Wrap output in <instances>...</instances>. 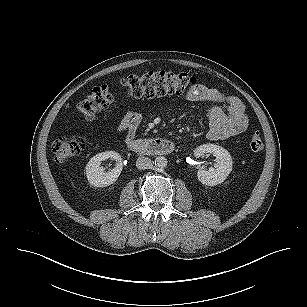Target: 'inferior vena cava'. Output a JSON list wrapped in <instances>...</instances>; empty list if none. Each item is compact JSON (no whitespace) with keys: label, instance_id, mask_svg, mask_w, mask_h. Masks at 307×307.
I'll return each instance as SVG.
<instances>
[{"label":"inferior vena cava","instance_id":"1","mask_svg":"<svg viewBox=\"0 0 307 307\" xmlns=\"http://www.w3.org/2000/svg\"><path fill=\"white\" fill-rule=\"evenodd\" d=\"M136 167L140 170L149 169L152 167V161L150 158L145 156L138 157Z\"/></svg>","mask_w":307,"mask_h":307}]
</instances>
